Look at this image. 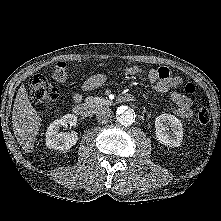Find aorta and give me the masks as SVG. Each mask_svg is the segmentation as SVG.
Returning <instances> with one entry per match:
<instances>
[{"label":"aorta","instance_id":"762f6f07","mask_svg":"<svg viewBox=\"0 0 221 221\" xmlns=\"http://www.w3.org/2000/svg\"><path fill=\"white\" fill-rule=\"evenodd\" d=\"M117 120L121 125L129 126L135 122V112L128 107H120L117 109Z\"/></svg>","mask_w":221,"mask_h":221}]
</instances>
